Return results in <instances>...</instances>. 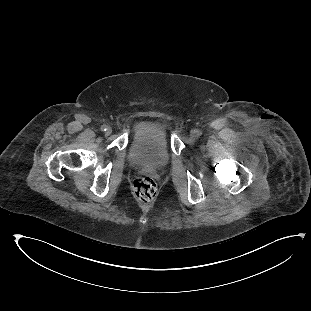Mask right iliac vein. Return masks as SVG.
<instances>
[{"instance_id":"right-iliac-vein-1","label":"right iliac vein","mask_w":311,"mask_h":311,"mask_svg":"<svg viewBox=\"0 0 311 311\" xmlns=\"http://www.w3.org/2000/svg\"><path fill=\"white\" fill-rule=\"evenodd\" d=\"M111 132H112V129H111L110 127H108L107 130H106V134H107V135H110Z\"/></svg>"}]
</instances>
